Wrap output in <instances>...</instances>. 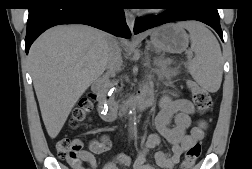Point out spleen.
Returning <instances> with one entry per match:
<instances>
[{"mask_svg":"<svg viewBox=\"0 0 252 169\" xmlns=\"http://www.w3.org/2000/svg\"><path fill=\"white\" fill-rule=\"evenodd\" d=\"M179 24L188 30L191 51L194 52V58L188 62L189 73L203 89L217 92L222 82L223 59L216 37L201 23L193 21Z\"/></svg>","mask_w":252,"mask_h":169,"instance_id":"3e777b00","label":"spleen"}]
</instances>
